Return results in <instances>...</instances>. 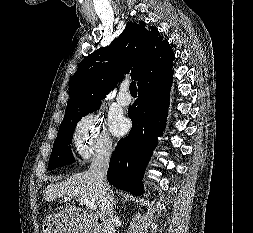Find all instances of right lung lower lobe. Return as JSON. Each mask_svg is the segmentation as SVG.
I'll use <instances>...</instances> for the list:
<instances>
[{
	"instance_id": "obj_1",
	"label": "right lung lower lobe",
	"mask_w": 253,
	"mask_h": 233,
	"mask_svg": "<svg viewBox=\"0 0 253 233\" xmlns=\"http://www.w3.org/2000/svg\"><path fill=\"white\" fill-rule=\"evenodd\" d=\"M172 74L171 68L144 82L138 88V99L129 107L132 128L129 136L118 142L107 172L108 182L118 189L134 195L143 192L146 165L157 145V137L165 129Z\"/></svg>"
}]
</instances>
